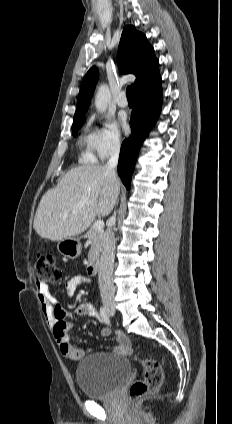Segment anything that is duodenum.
<instances>
[{"label":"duodenum","instance_id":"410a0bca","mask_svg":"<svg viewBox=\"0 0 232 424\" xmlns=\"http://www.w3.org/2000/svg\"><path fill=\"white\" fill-rule=\"evenodd\" d=\"M99 269V261L97 257H94L90 260L88 266H87V273L88 275H96Z\"/></svg>","mask_w":232,"mask_h":424}]
</instances>
